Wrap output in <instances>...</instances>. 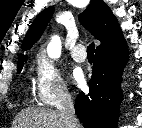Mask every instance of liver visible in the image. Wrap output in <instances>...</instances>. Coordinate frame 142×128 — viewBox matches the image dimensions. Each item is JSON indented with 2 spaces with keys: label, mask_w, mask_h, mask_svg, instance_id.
<instances>
[{
  "label": "liver",
  "mask_w": 142,
  "mask_h": 128,
  "mask_svg": "<svg viewBox=\"0 0 142 128\" xmlns=\"http://www.w3.org/2000/svg\"><path fill=\"white\" fill-rule=\"evenodd\" d=\"M13 128H67L59 111L48 108H27L16 116Z\"/></svg>",
  "instance_id": "liver-1"
}]
</instances>
